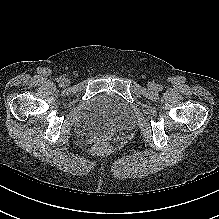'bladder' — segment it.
Returning a JSON list of instances; mask_svg holds the SVG:
<instances>
[{
    "mask_svg": "<svg viewBox=\"0 0 219 219\" xmlns=\"http://www.w3.org/2000/svg\"><path fill=\"white\" fill-rule=\"evenodd\" d=\"M132 116L131 107L118 96L101 93L82 107L76 128L82 136H110L123 128Z\"/></svg>",
    "mask_w": 219,
    "mask_h": 219,
    "instance_id": "31cf9c89",
    "label": "bladder"
}]
</instances>
